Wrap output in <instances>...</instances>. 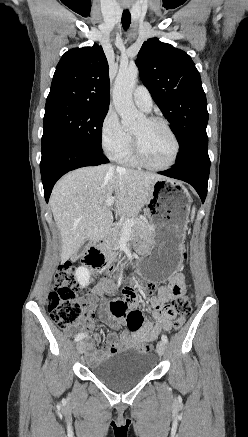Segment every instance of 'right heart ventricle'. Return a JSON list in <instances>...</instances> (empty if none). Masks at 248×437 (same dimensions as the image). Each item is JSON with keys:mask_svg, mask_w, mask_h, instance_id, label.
I'll list each match as a JSON object with an SVG mask.
<instances>
[{"mask_svg": "<svg viewBox=\"0 0 248 437\" xmlns=\"http://www.w3.org/2000/svg\"><path fill=\"white\" fill-rule=\"evenodd\" d=\"M119 159L128 165H136L138 163L137 159L135 158V156L131 150V147Z\"/></svg>", "mask_w": 248, "mask_h": 437, "instance_id": "right-heart-ventricle-1", "label": "right heart ventricle"}]
</instances>
